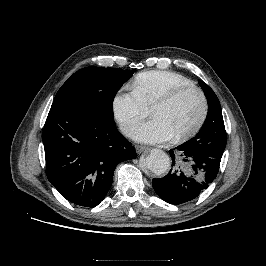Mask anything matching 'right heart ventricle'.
<instances>
[{
  "label": "right heart ventricle",
  "instance_id": "e07e8e85",
  "mask_svg": "<svg viewBox=\"0 0 266 266\" xmlns=\"http://www.w3.org/2000/svg\"><path fill=\"white\" fill-rule=\"evenodd\" d=\"M192 82L172 71L151 70L139 73L131 83V90L138 94L147 107L152 105L169 91Z\"/></svg>",
  "mask_w": 266,
  "mask_h": 266
}]
</instances>
